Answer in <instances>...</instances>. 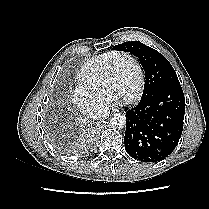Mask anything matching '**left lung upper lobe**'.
<instances>
[{
	"mask_svg": "<svg viewBox=\"0 0 209 209\" xmlns=\"http://www.w3.org/2000/svg\"><path fill=\"white\" fill-rule=\"evenodd\" d=\"M114 48L120 51L130 52L140 60L146 77L142 95H146L165 84L179 82L169 61L155 49L139 41L125 42L116 45Z\"/></svg>",
	"mask_w": 209,
	"mask_h": 209,
	"instance_id": "obj_1",
	"label": "left lung upper lobe"
}]
</instances>
